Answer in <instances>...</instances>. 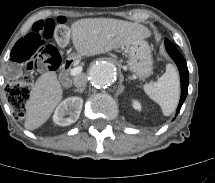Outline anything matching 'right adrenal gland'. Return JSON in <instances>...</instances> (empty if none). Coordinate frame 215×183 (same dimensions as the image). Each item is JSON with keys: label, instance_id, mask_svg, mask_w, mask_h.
<instances>
[{"label": "right adrenal gland", "instance_id": "right-adrenal-gland-1", "mask_svg": "<svg viewBox=\"0 0 215 183\" xmlns=\"http://www.w3.org/2000/svg\"><path fill=\"white\" fill-rule=\"evenodd\" d=\"M85 90V87H82V88H78V89H75L74 92H80V93H83Z\"/></svg>", "mask_w": 215, "mask_h": 183}]
</instances>
